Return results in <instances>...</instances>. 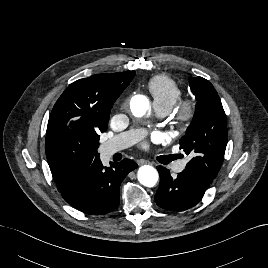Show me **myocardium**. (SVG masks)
<instances>
[{
	"instance_id": "obj_1",
	"label": "myocardium",
	"mask_w": 268,
	"mask_h": 268,
	"mask_svg": "<svg viewBox=\"0 0 268 268\" xmlns=\"http://www.w3.org/2000/svg\"><path fill=\"white\" fill-rule=\"evenodd\" d=\"M196 110V103L193 99L179 101L173 114L174 123L182 129L187 128L195 118Z\"/></svg>"
}]
</instances>
